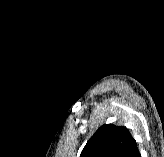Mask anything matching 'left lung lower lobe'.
<instances>
[{"label": "left lung lower lobe", "instance_id": "1", "mask_svg": "<svg viewBox=\"0 0 164 157\" xmlns=\"http://www.w3.org/2000/svg\"><path fill=\"white\" fill-rule=\"evenodd\" d=\"M127 157H141L139 151H138V148H137V144L135 142V144L133 145L130 153L128 154Z\"/></svg>", "mask_w": 164, "mask_h": 157}]
</instances>
